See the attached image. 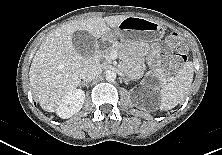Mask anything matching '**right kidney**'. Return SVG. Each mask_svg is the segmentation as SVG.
<instances>
[{"mask_svg": "<svg viewBox=\"0 0 222 155\" xmlns=\"http://www.w3.org/2000/svg\"><path fill=\"white\" fill-rule=\"evenodd\" d=\"M85 100V93L81 89H76L65 96L59 103L56 113L63 119H68L79 112Z\"/></svg>", "mask_w": 222, "mask_h": 155, "instance_id": "1", "label": "right kidney"}]
</instances>
